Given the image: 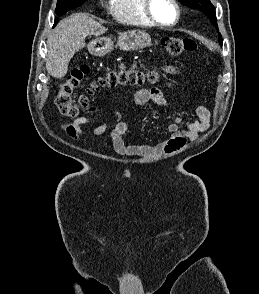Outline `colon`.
Segmentation results:
<instances>
[{"instance_id":"obj_1","label":"colon","mask_w":259,"mask_h":294,"mask_svg":"<svg viewBox=\"0 0 259 294\" xmlns=\"http://www.w3.org/2000/svg\"><path fill=\"white\" fill-rule=\"evenodd\" d=\"M161 44L166 52L173 57H178L184 52H190L196 48V43L188 38L165 37L161 40ZM166 71L175 73L176 68L169 66ZM87 74L88 68L86 66L74 69L61 84L55 103L63 116L76 117L81 110L88 107L89 95L103 86H142L146 83H156L160 78V73L155 70L139 69L136 66H120L109 70L103 78L93 82L86 93L73 96L74 91L80 86Z\"/></svg>"}]
</instances>
